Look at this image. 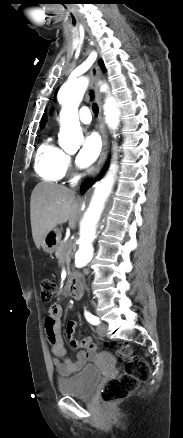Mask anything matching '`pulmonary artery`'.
<instances>
[{
    "label": "pulmonary artery",
    "instance_id": "1",
    "mask_svg": "<svg viewBox=\"0 0 183 438\" xmlns=\"http://www.w3.org/2000/svg\"><path fill=\"white\" fill-rule=\"evenodd\" d=\"M79 119L84 124H89L92 120L90 109L86 106L79 111Z\"/></svg>",
    "mask_w": 183,
    "mask_h": 438
}]
</instances>
